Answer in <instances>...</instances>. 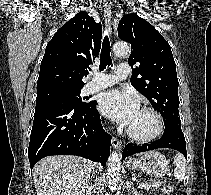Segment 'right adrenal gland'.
Here are the masks:
<instances>
[{
	"label": "right adrenal gland",
	"mask_w": 211,
	"mask_h": 195,
	"mask_svg": "<svg viewBox=\"0 0 211 195\" xmlns=\"http://www.w3.org/2000/svg\"><path fill=\"white\" fill-rule=\"evenodd\" d=\"M92 192H94V189H93V186L90 185V186L87 188L85 195H91Z\"/></svg>",
	"instance_id": "right-adrenal-gland-1"
}]
</instances>
